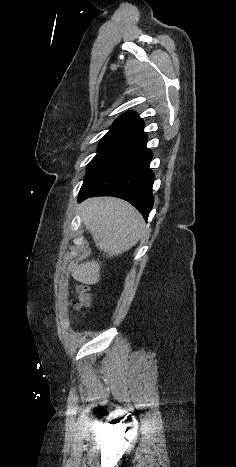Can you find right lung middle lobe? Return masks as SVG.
Returning <instances> with one entry per match:
<instances>
[{"label":"right lung middle lobe","mask_w":236,"mask_h":467,"mask_svg":"<svg viewBox=\"0 0 236 467\" xmlns=\"http://www.w3.org/2000/svg\"><path fill=\"white\" fill-rule=\"evenodd\" d=\"M139 136L141 135L133 131L111 128L110 131L101 139L97 155L88 164L86 176L117 150Z\"/></svg>","instance_id":"1"}]
</instances>
